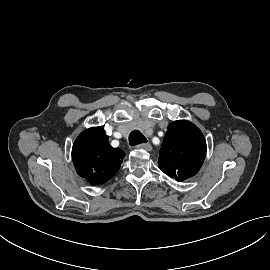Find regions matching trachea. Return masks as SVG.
<instances>
[{"label": "trachea", "mask_w": 270, "mask_h": 270, "mask_svg": "<svg viewBox=\"0 0 270 270\" xmlns=\"http://www.w3.org/2000/svg\"><path fill=\"white\" fill-rule=\"evenodd\" d=\"M147 139L139 131H132L129 135V144L135 146L138 144L146 143Z\"/></svg>", "instance_id": "trachea-1"}]
</instances>
